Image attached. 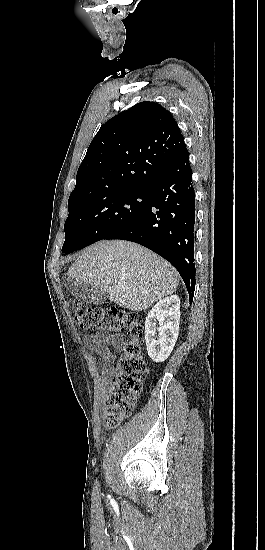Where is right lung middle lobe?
<instances>
[{
    "label": "right lung middle lobe",
    "mask_w": 265,
    "mask_h": 550,
    "mask_svg": "<svg viewBox=\"0 0 265 550\" xmlns=\"http://www.w3.org/2000/svg\"><path fill=\"white\" fill-rule=\"evenodd\" d=\"M149 188L111 193L68 203L62 253L84 248L135 219L146 207Z\"/></svg>",
    "instance_id": "right-lung-middle-lobe-1"
}]
</instances>
